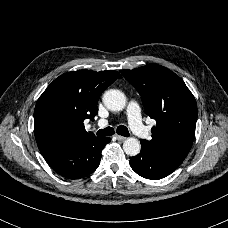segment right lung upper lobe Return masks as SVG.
<instances>
[{"mask_svg": "<svg viewBox=\"0 0 228 228\" xmlns=\"http://www.w3.org/2000/svg\"><path fill=\"white\" fill-rule=\"evenodd\" d=\"M121 78L117 71L78 70L56 78L37 100L34 133L41 154L89 137L83 121L94 120L102 92Z\"/></svg>", "mask_w": 228, "mask_h": 228, "instance_id": "right-lung-upper-lobe-1", "label": "right lung upper lobe"}]
</instances>
